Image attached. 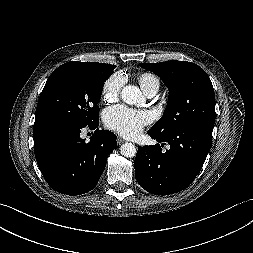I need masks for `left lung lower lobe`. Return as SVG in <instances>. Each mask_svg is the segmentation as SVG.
Here are the masks:
<instances>
[{
    "label": "left lung lower lobe",
    "mask_w": 253,
    "mask_h": 253,
    "mask_svg": "<svg viewBox=\"0 0 253 253\" xmlns=\"http://www.w3.org/2000/svg\"><path fill=\"white\" fill-rule=\"evenodd\" d=\"M213 125L200 122L182 126L169 135L147 134L161 146L139 147L135 158L136 179L149 193L169 195L188 187L201 170L212 145Z\"/></svg>",
    "instance_id": "1"
}]
</instances>
